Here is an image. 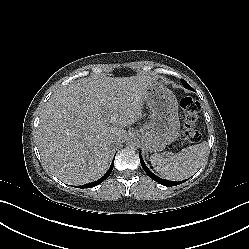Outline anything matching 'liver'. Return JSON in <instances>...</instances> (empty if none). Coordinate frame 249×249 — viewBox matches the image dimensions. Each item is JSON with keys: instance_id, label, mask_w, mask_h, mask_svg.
Wrapping results in <instances>:
<instances>
[{"instance_id": "obj_1", "label": "liver", "mask_w": 249, "mask_h": 249, "mask_svg": "<svg viewBox=\"0 0 249 249\" xmlns=\"http://www.w3.org/2000/svg\"><path fill=\"white\" fill-rule=\"evenodd\" d=\"M151 81L88 79L61 90L40 118L37 146L44 165L72 173L77 184L102 177L111 159V137L121 140L124 128L141 118Z\"/></svg>"}]
</instances>
